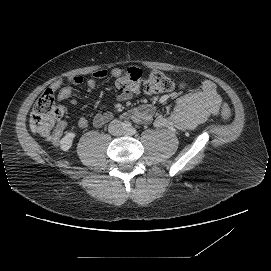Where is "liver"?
I'll use <instances>...</instances> for the list:
<instances>
[{
  "instance_id": "1",
  "label": "liver",
  "mask_w": 271,
  "mask_h": 271,
  "mask_svg": "<svg viewBox=\"0 0 271 271\" xmlns=\"http://www.w3.org/2000/svg\"><path fill=\"white\" fill-rule=\"evenodd\" d=\"M30 128H31V131L32 132H36V127H35V125L32 123V120H30Z\"/></svg>"
}]
</instances>
